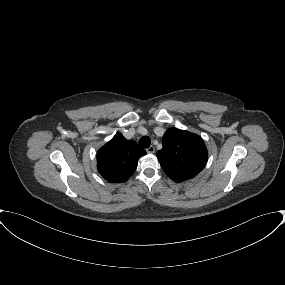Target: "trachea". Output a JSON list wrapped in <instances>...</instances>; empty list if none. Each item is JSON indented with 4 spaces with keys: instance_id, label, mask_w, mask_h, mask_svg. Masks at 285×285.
<instances>
[{
    "instance_id": "trachea-1",
    "label": "trachea",
    "mask_w": 285,
    "mask_h": 285,
    "mask_svg": "<svg viewBox=\"0 0 285 285\" xmlns=\"http://www.w3.org/2000/svg\"><path fill=\"white\" fill-rule=\"evenodd\" d=\"M151 144L150 138L147 136H143L139 140V146L142 148H148Z\"/></svg>"
}]
</instances>
